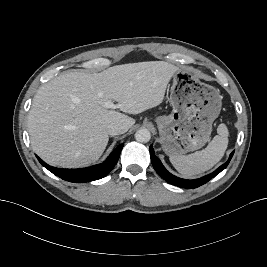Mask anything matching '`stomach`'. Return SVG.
<instances>
[{"mask_svg":"<svg viewBox=\"0 0 267 267\" xmlns=\"http://www.w3.org/2000/svg\"><path fill=\"white\" fill-rule=\"evenodd\" d=\"M172 79V113L155 119L159 141L170 156L202 148L209 141L212 123L222 106V97L217 89L201 82L193 70L176 68Z\"/></svg>","mask_w":267,"mask_h":267,"instance_id":"obj_1","label":"stomach"}]
</instances>
